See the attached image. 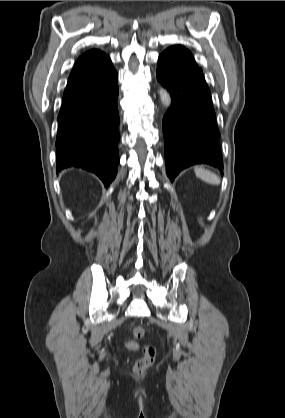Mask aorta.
<instances>
[{
    "label": "aorta",
    "instance_id": "1",
    "mask_svg": "<svg viewBox=\"0 0 285 418\" xmlns=\"http://www.w3.org/2000/svg\"><path fill=\"white\" fill-rule=\"evenodd\" d=\"M159 95H160L162 104L166 108H168L171 105V97H170L169 92L165 88L161 87L159 90Z\"/></svg>",
    "mask_w": 285,
    "mask_h": 418
}]
</instances>
